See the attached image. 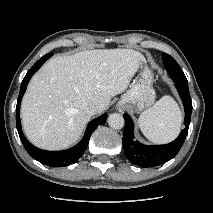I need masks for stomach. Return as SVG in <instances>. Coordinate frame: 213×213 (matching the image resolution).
<instances>
[{"label": "stomach", "instance_id": "obj_1", "mask_svg": "<svg viewBox=\"0 0 213 213\" xmlns=\"http://www.w3.org/2000/svg\"><path fill=\"white\" fill-rule=\"evenodd\" d=\"M153 74L145 67L140 77L121 96L118 105L124 106L133 113H139L150 107L155 101V91L152 87Z\"/></svg>", "mask_w": 213, "mask_h": 213}]
</instances>
